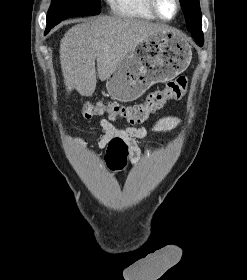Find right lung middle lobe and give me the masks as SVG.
<instances>
[{
	"instance_id": "right-lung-middle-lobe-1",
	"label": "right lung middle lobe",
	"mask_w": 247,
	"mask_h": 280,
	"mask_svg": "<svg viewBox=\"0 0 247 280\" xmlns=\"http://www.w3.org/2000/svg\"><path fill=\"white\" fill-rule=\"evenodd\" d=\"M100 10V0H52L47 13V28L51 29L67 18L98 15Z\"/></svg>"
}]
</instances>
